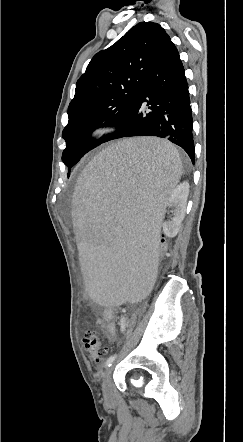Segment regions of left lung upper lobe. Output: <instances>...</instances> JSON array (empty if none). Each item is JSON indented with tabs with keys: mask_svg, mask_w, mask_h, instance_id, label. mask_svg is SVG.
<instances>
[{
	"mask_svg": "<svg viewBox=\"0 0 243 442\" xmlns=\"http://www.w3.org/2000/svg\"><path fill=\"white\" fill-rule=\"evenodd\" d=\"M168 34L157 23L141 22L114 45L94 55L76 83L62 132L66 148L62 161L70 168L104 142L91 138L100 127L117 125L135 105L145 77L162 52Z\"/></svg>",
	"mask_w": 243,
	"mask_h": 442,
	"instance_id": "left-lung-upper-lobe-1",
	"label": "left lung upper lobe"
}]
</instances>
